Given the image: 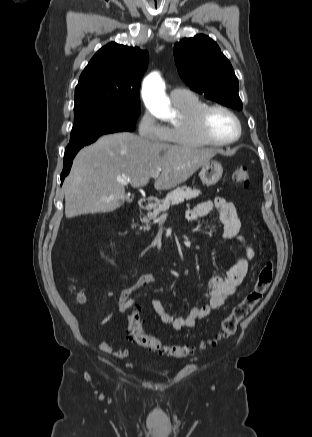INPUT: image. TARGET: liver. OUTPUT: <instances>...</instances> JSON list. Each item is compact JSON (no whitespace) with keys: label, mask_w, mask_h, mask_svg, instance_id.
<instances>
[{"label":"liver","mask_w":312,"mask_h":437,"mask_svg":"<svg viewBox=\"0 0 312 437\" xmlns=\"http://www.w3.org/2000/svg\"><path fill=\"white\" fill-rule=\"evenodd\" d=\"M213 149L151 142L132 133L101 136L81 149L63 184L67 218L116 210L125 199L126 180L134 188L149 183L171 189L189 179L217 154Z\"/></svg>","instance_id":"6515ba94"}]
</instances>
